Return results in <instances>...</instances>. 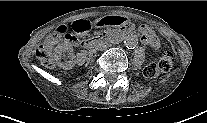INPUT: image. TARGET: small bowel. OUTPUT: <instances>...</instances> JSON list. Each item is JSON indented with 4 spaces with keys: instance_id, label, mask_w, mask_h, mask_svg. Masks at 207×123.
<instances>
[{
    "instance_id": "small-bowel-1",
    "label": "small bowel",
    "mask_w": 207,
    "mask_h": 123,
    "mask_svg": "<svg viewBox=\"0 0 207 123\" xmlns=\"http://www.w3.org/2000/svg\"><path fill=\"white\" fill-rule=\"evenodd\" d=\"M127 22L125 15H106L105 17L98 18V25L100 27H107L108 25H124ZM91 28V21L89 19H80L79 21H73L71 23V31L73 33H80L88 31ZM130 29V27H127ZM140 31L142 33V41L145 44L150 45L153 50L157 51L159 48V41L154 31L148 26H141Z\"/></svg>"
}]
</instances>
